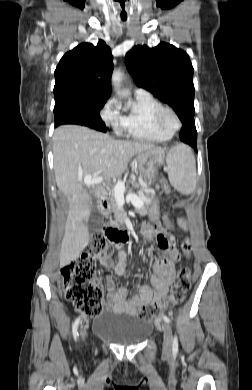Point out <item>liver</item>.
I'll return each instance as SVG.
<instances>
[{"label": "liver", "mask_w": 252, "mask_h": 390, "mask_svg": "<svg viewBox=\"0 0 252 390\" xmlns=\"http://www.w3.org/2000/svg\"><path fill=\"white\" fill-rule=\"evenodd\" d=\"M53 141L56 184L69 201L60 250L63 267L75 260L89 242L92 196L99 199L106 195L101 186L86 189L84 178L100 171L107 178L120 177L136 154L163 149L143 142L115 140L108 134L77 125L58 127Z\"/></svg>", "instance_id": "liver-1"}]
</instances>
